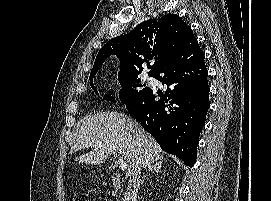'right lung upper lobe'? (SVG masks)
<instances>
[{
	"instance_id": "1",
	"label": "right lung upper lobe",
	"mask_w": 271,
	"mask_h": 201,
	"mask_svg": "<svg viewBox=\"0 0 271 201\" xmlns=\"http://www.w3.org/2000/svg\"><path fill=\"white\" fill-rule=\"evenodd\" d=\"M187 37L195 38L190 26L176 14L144 21L129 33L109 40L100 49L90 76L95 75L111 55H117L121 60L119 74L138 75L147 64L151 69L148 74L154 75L178 51Z\"/></svg>"
}]
</instances>
